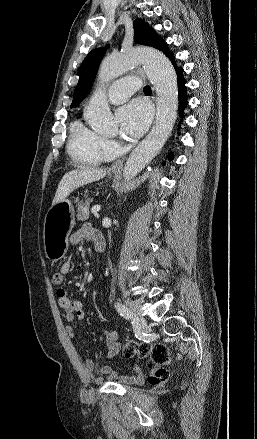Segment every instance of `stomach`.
Listing matches in <instances>:
<instances>
[{
    "mask_svg": "<svg viewBox=\"0 0 257 439\" xmlns=\"http://www.w3.org/2000/svg\"><path fill=\"white\" fill-rule=\"evenodd\" d=\"M75 225V211L72 202L64 199L48 210L43 228L46 257L56 262L68 250V236Z\"/></svg>",
    "mask_w": 257,
    "mask_h": 439,
    "instance_id": "stomach-1",
    "label": "stomach"
}]
</instances>
